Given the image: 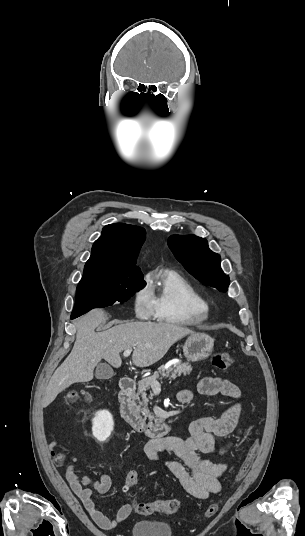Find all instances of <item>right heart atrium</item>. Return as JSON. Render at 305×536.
Masks as SVG:
<instances>
[{
  "label": "right heart atrium",
  "instance_id": "d8ad5b80",
  "mask_svg": "<svg viewBox=\"0 0 305 536\" xmlns=\"http://www.w3.org/2000/svg\"><path fill=\"white\" fill-rule=\"evenodd\" d=\"M132 305L136 316L140 319H148L155 315L150 288L147 282L138 287L133 293Z\"/></svg>",
  "mask_w": 305,
  "mask_h": 536
}]
</instances>
